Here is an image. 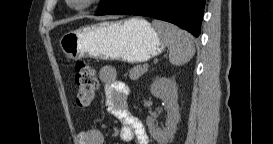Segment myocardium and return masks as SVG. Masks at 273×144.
<instances>
[{
	"label": "myocardium",
	"instance_id": "myocardium-1",
	"mask_svg": "<svg viewBox=\"0 0 273 144\" xmlns=\"http://www.w3.org/2000/svg\"><path fill=\"white\" fill-rule=\"evenodd\" d=\"M101 0H81L80 2H75L74 0H69L76 5L77 10H85L91 6L99 3Z\"/></svg>",
	"mask_w": 273,
	"mask_h": 144
}]
</instances>
